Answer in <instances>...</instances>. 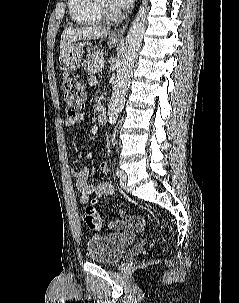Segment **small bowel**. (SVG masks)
I'll use <instances>...</instances> for the list:
<instances>
[{"mask_svg": "<svg viewBox=\"0 0 239 303\" xmlns=\"http://www.w3.org/2000/svg\"><path fill=\"white\" fill-rule=\"evenodd\" d=\"M83 120V115H78L76 117H67L65 119V124L67 127H73L76 124L82 122ZM99 170L105 176V179L95 185H90L88 183V168H80L72 171V175L75 178L76 187L81 194L80 200L82 203H87L93 194H97L98 196H105L113 192V185L108 178L107 163L104 161L101 162L99 164ZM111 225L115 227L118 231L125 232L131 228H142L144 225V220L140 216H131L126 221L112 222Z\"/></svg>", "mask_w": 239, "mask_h": 303, "instance_id": "small-bowel-1", "label": "small bowel"}]
</instances>
